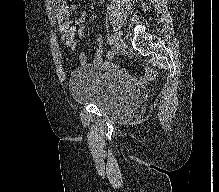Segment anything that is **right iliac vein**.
I'll return each mask as SVG.
<instances>
[{
    "instance_id": "right-iliac-vein-1",
    "label": "right iliac vein",
    "mask_w": 219,
    "mask_h": 192,
    "mask_svg": "<svg viewBox=\"0 0 219 192\" xmlns=\"http://www.w3.org/2000/svg\"><path fill=\"white\" fill-rule=\"evenodd\" d=\"M114 47L113 51L117 53L122 48V39L118 33H114L113 35Z\"/></svg>"
}]
</instances>
